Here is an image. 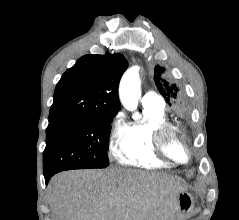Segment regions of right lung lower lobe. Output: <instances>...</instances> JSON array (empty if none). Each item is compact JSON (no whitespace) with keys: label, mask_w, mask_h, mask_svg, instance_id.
Here are the masks:
<instances>
[{"label":"right lung lower lobe","mask_w":239,"mask_h":220,"mask_svg":"<svg viewBox=\"0 0 239 220\" xmlns=\"http://www.w3.org/2000/svg\"><path fill=\"white\" fill-rule=\"evenodd\" d=\"M44 177H45V183H46V184H48V182H49V179H50L51 175L44 176Z\"/></svg>","instance_id":"98d812e1"}]
</instances>
